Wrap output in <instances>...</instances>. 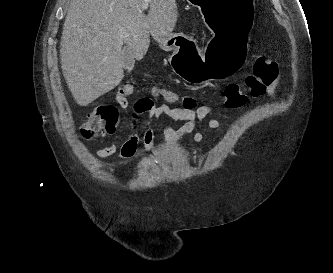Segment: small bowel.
Wrapping results in <instances>:
<instances>
[{
	"instance_id": "obj_1",
	"label": "small bowel",
	"mask_w": 333,
	"mask_h": 273,
	"mask_svg": "<svg viewBox=\"0 0 333 273\" xmlns=\"http://www.w3.org/2000/svg\"><path fill=\"white\" fill-rule=\"evenodd\" d=\"M282 82V74L278 69H275V75L271 83L266 87V93L269 97L275 98L276 91ZM115 100L121 109H127L129 104L125 96L120 94L116 95ZM134 118L141 114H147L148 119L145 125V130L142 137L137 133L138 126L132 125L133 134L122 144L118 158L129 159L133 157L137 151L138 145L141 143L143 152L148 154L152 149L155 133L153 129L154 121L167 117L171 120L183 122L184 124L177 130H173L167 124L163 123L166 143L169 148L176 145V143L187 135L193 133V142L198 145L202 142L204 135L202 130L198 129L199 124L204 122V126L211 130H220L222 122L225 118L221 108H201L184 109L179 107H172L169 104H160L154 106L152 96H140L134 106ZM211 115H217L219 119L206 120ZM117 139L114 138L112 142L96 151V156L100 159H105L117 152Z\"/></svg>"
}]
</instances>
